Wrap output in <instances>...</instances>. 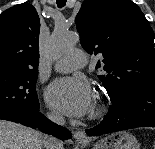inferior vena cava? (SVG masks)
Wrapping results in <instances>:
<instances>
[{
    "instance_id": "1",
    "label": "inferior vena cava",
    "mask_w": 155,
    "mask_h": 149,
    "mask_svg": "<svg viewBox=\"0 0 155 149\" xmlns=\"http://www.w3.org/2000/svg\"><path fill=\"white\" fill-rule=\"evenodd\" d=\"M48 118L55 122L58 125H63L65 120L64 117L60 114H50L48 115ZM43 146L45 149H62L63 144L58 139L46 135L43 141Z\"/></svg>"
}]
</instances>
